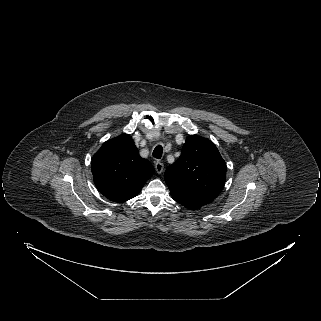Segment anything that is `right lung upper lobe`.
Segmentation results:
<instances>
[{
	"label": "right lung upper lobe",
	"instance_id": "right-lung-upper-lobe-1",
	"mask_svg": "<svg viewBox=\"0 0 321 321\" xmlns=\"http://www.w3.org/2000/svg\"><path fill=\"white\" fill-rule=\"evenodd\" d=\"M91 169L97 189L114 202L137 196L154 172L128 134L106 141L93 156Z\"/></svg>",
	"mask_w": 321,
	"mask_h": 321
}]
</instances>
